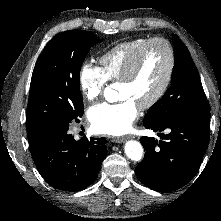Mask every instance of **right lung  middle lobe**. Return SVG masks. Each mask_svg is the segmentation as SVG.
I'll use <instances>...</instances> for the list:
<instances>
[{"label":"right lung middle lobe","mask_w":221,"mask_h":221,"mask_svg":"<svg viewBox=\"0 0 221 221\" xmlns=\"http://www.w3.org/2000/svg\"><path fill=\"white\" fill-rule=\"evenodd\" d=\"M99 42L92 32L71 30L55 35L44 48L32 74L26 111L30 146L49 128L83 115L80 67Z\"/></svg>","instance_id":"obj_1"}]
</instances>
